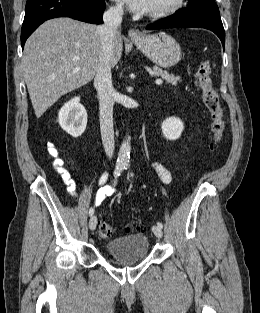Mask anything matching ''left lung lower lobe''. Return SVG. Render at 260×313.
<instances>
[{
  "label": "left lung lower lobe",
  "instance_id": "0a47b994",
  "mask_svg": "<svg viewBox=\"0 0 260 313\" xmlns=\"http://www.w3.org/2000/svg\"><path fill=\"white\" fill-rule=\"evenodd\" d=\"M178 27H196L206 28L213 31L221 40L223 48L225 46V32L223 24L220 21L209 18L189 17L183 15H171L162 19V22L150 24L146 27L148 30L178 28Z\"/></svg>",
  "mask_w": 260,
  "mask_h": 313
}]
</instances>
